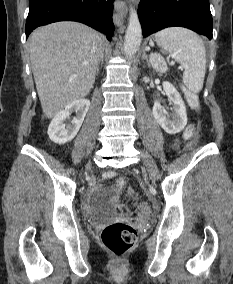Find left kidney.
Segmentation results:
<instances>
[{
  "label": "left kidney",
  "mask_w": 233,
  "mask_h": 284,
  "mask_svg": "<svg viewBox=\"0 0 233 284\" xmlns=\"http://www.w3.org/2000/svg\"><path fill=\"white\" fill-rule=\"evenodd\" d=\"M144 81L149 82V78L144 77ZM163 89L173 105V112L166 115L160 102L155 101L152 111L153 116L168 134H176L181 132L187 124L186 107L179 92L171 83L168 81L163 82Z\"/></svg>",
  "instance_id": "5707ae66"
}]
</instances>
